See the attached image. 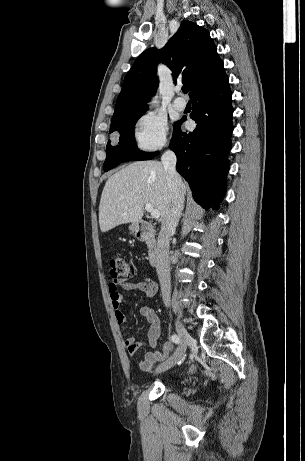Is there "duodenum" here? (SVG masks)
Here are the masks:
<instances>
[{"mask_svg":"<svg viewBox=\"0 0 305 461\" xmlns=\"http://www.w3.org/2000/svg\"><path fill=\"white\" fill-rule=\"evenodd\" d=\"M137 237L144 241L149 246L148 263L150 266H155L159 262L157 241L150 223L142 221L136 226Z\"/></svg>","mask_w":305,"mask_h":461,"instance_id":"obj_1","label":"duodenum"}]
</instances>
